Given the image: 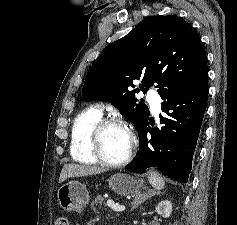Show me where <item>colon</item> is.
<instances>
[{
	"instance_id": "colon-1",
	"label": "colon",
	"mask_w": 237,
	"mask_h": 225,
	"mask_svg": "<svg viewBox=\"0 0 237 225\" xmlns=\"http://www.w3.org/2000/svg\"><path fill=\"white\" fill-rule=\"evenodd\" d=\"M55 225H69V221L66 217L57 218Z\"/></svg>"
}]
</instances>
